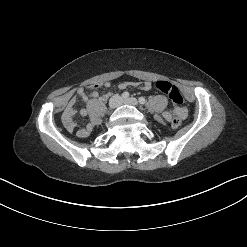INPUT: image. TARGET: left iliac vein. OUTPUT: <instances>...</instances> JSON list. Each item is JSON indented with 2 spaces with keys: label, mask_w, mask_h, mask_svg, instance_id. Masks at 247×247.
<instances>
[{
  "label": "left iliac vein",
  "mask_w": 247,
  "mask_h": 247,
  "mask_svg": "<svg viewBox=\"0 0 247 247\" xmlns=\"http://www.w3.org/2000/svg\"><path fill=\"white\" fill-rule=\"evenodd\" d=\"M123 103L127 104V105L134 106V107H138V101H137V99H135L133 97L128 98V99H124Z\"/></svg>",
  "instance_id": "1"
}]
</instances>
